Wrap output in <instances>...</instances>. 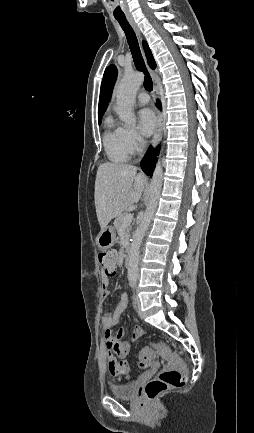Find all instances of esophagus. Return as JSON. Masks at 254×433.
I'll list each match as a JSON object with an SVG mask.
<instances>
[{"instance_id":"obj_1","label":"esophagus","mask_w":254,"mask_h":433,"mask_svg":"<svg viewBox=\"0 0 254 433\" xmlns=\"http://www.w3.org/2000/svg\"><path fill=\"white\" fill-rule=\"evenodd\" d=\"M129 23L131 24V26L133 27V29L135 30L138 38L140 41H142V35L140 32V29L138 27V25L135 23V21L132 18H128ZM148 70L152 76L153 79V88H154V96L155 98H158V83L156 80V76H157V72L155 70L150 69V67L147 65ZM161 129H162V113L159 109H157V127H156V131L152 140V146L155 148L159 142H160V138H161Z\"/></svg>"}]
</instances>
